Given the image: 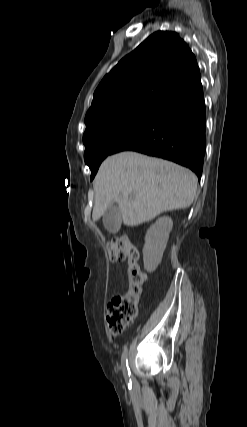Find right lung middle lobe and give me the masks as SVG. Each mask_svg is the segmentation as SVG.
<instances>
[{
    "instance_id": "1",
    "label": "right lung middle lobe",
    "mask_w": 247,
    "mask_h": 427,
    "mask_svg": "<svg viewBox=\"0 0 247 427\" xmlns=\"http://www.w3.org/2000/svg\"><path fill=\"white\" fill-rule=\"evenodd\" d=\"M157 106H135L102 116L86 127L83 135L85 163L91 169V180L101 162L115 148L138 130Z\"/></svg>"
}]
</instances>
